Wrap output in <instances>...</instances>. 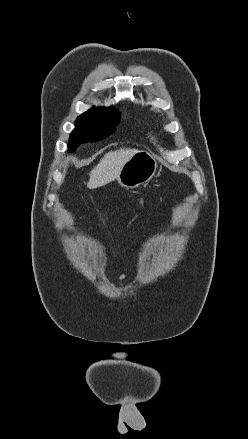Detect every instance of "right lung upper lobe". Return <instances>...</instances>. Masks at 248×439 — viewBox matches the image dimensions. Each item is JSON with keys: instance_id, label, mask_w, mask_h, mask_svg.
Returning <instances> with one entry per match:
<instances>
[{"instance_id": "cb5924a9", "label": "right lung upper lobe", "mask_w": 248, "mask_h": 439, "mask_svg": "<svg viewBox=\"0 0 248 439\" xmlns=\"http://www.w3.org/2000/svg\"><path fill=\"white\" fill-rule=\"evenodd\" d=\"M96 109L105 110V111H115L112 107H109V108L101 107V108H96Z\"/></svg>"}]
</instances>
